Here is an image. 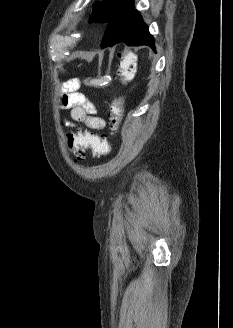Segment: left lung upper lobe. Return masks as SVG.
<instances>
[{
  "instance_id": "obj_1",
  "label": "left lung upper lobe",
  "mask_w": 233,
  "mask_h": 328,
  "mask_svg": "<svg viewBox=\"0 0 233 328\" xmlns=\"http://www.w3.org/2000/svg\"><path fill=\"white\" fill-rule=\"evenodd\" d=\"M130 0H104L93 5L92 22L110 23Z\"/></svg>"
}]
</instances>
